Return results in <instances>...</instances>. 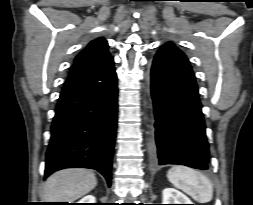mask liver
<instances>
[{
	"instance_id": "obj_1",
	"label": "liver",
	"mask_w": 253,
	"mask_h": 205,
	"mask_svg": "<svg viewBox=\"0 0 253 205\" xmlns=\"http://www.w3.org/2000/svg\"><path fill=\"white\" fill-rule=\"evenodd\" d=\"M97 185L95 174L88 169L60 170L45 182L43 199L46 202H69L84 196Z\"/></svg>"
}]
</instances>
